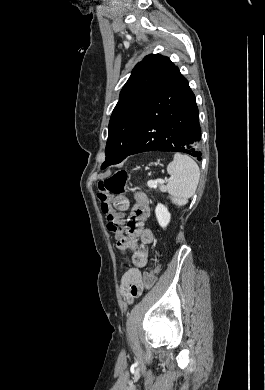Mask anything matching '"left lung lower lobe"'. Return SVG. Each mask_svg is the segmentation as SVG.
Segmentation results:
<instances>
[{"instance_id":"obj_1","label":"left lung lower lobe","mask_w":265,"mask_h":390,"mask_svg":"<svg viewBox=\"0 0 265 390\" xmlns=\"http://www.w3.org/2000/svg\"><path fill=\"white\" fill-rule=\"evenodd\" d=\"M200 140L195 96L188 81L175 67L147 106L127 156L167 151L186 153L201 160Z\"/></svg>"}]
</instances>
